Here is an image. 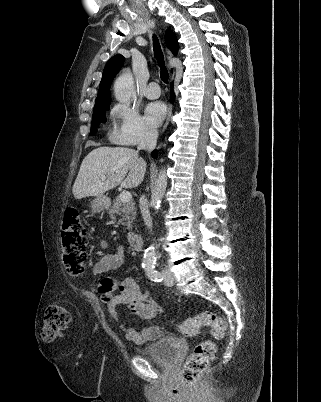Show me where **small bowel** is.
<instances>
[{
	"label": "small bowel",
	"mask_w": 321,
	"mask_h": 402,
	"mask_svg": "<svg viewBox=\"0 0 321 402\" xmlns=\"http://www.w3.org/2000/svg\"><path fill=\"white\" fill-rule=\"evenodd\" d=\"M105 247V244H102ZM124 260V250L121 246L112 252L101 255L95 262L92 272L101 275L119 268ZM98 292L106 305L110 317L119 324L125 338L136 344L152 342L159 337L161 327L150 325L140 330L127 326L119 317L117 308L125 306L131 313L141 319H153L163 312L154 302L148 290H143L132 278H126L121 283L113 280H103L98 286Z\"/></svg>",
	"instance_id": "1"
}]
</instances>
